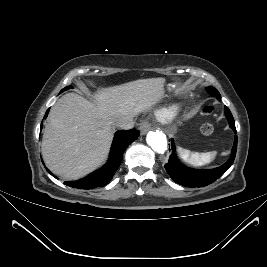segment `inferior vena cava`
Masks as SVG:
<instances>
[{
    "label": "inferior vena cava",
    "mask_w": 267,
    "mask_h": 267,
    "mask_svg": "<svg viewBox=\"0 0 267 267\" xmlns=\"http://www.w3.org/2000/svg\"><path fill=\"white\" fill-rule=\"evenodd\" d=\"M113 126L118 129L129 130L134 127V121L131 117H123L115 120Z\"/></svg>",
    "instance_id": "1"
}]
</instances>
